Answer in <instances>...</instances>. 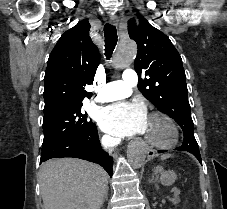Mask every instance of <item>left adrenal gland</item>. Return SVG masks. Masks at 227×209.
Wrapping results in <instances>:
<instances>
[{"label": "left adrenal gland", "mask_w": 227, "mask_h": 209, "mask_svg": "<svg viewBox=\"0 0 227 209\" xmlns=\"http://www.w3.org/2000/svg\"><path fill=\"white\" fill-rule=\"evenodd\" d=\"M158 179H159L158 175H156V177H155V175H152V181H151V183H155L156 189H158V187H157V181H158Z\"/></svg>", "instance_id": "1"}]
</instances>
